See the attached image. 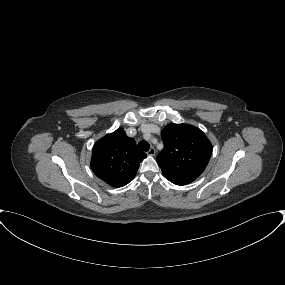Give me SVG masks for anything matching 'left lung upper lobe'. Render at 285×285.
Returning a JSON list of instances; mask_svg holds the SVG:
<instances>
[{"instance_id": "left-lung-upper-lobe-1", "label": "left lung upper lobe", "mask_w": 285, "mask_h": 285, "mask_svg": "<svg viewBox=\"0 0 285 285\" xmlns=\"http://www.w3.org/2000/svg\"><path fill=\"white\" fill-rule=\"evenodd\" d=\"M164 149L157 163L164 175L195 180L205 170L212 145L205 134L188 124H170L162 131Z\"/></svg>"}]
</instances>
